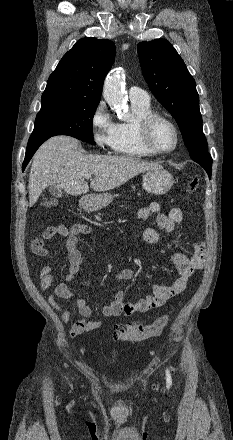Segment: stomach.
Returning a JSON list of instances; mask_svg holds the SVG:
<instances>
[{"label": "stomach", "instance_id": "1", "mask_svg": "<svg viewBox=\"0 0 233 440\" xmlns=\"http://www.w3.org/2000/svg\"><path fill=\"white\" fill-rule=\"evenodd\" d=\"M174 178L171 173L163 167L149 170L143 176L142 186L148 193L163 195L173 186ZM113 201V196L109 193L91 194L83 196L80 205L88 211H96L108 206Z\"/></svg>", "mask_w": 233, "mask_h": 440}]
</instances>
